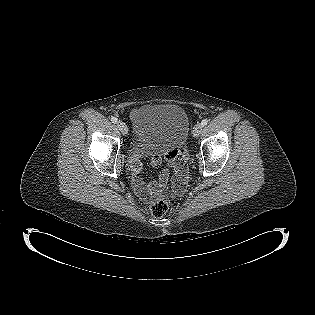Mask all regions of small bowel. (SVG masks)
I'll return each instance as SVG.
<instances>
[{
    "label": "small bowel",
    "mask_w": 315,
    "mask_h": 315,
    "mask_svg": "<svg viewBox=\"0 0 315 315\" xmlns=\"http://www.w3.org/2000/svg\"><path fill=\"white\" fill-rule=\"evenodd\" d=\"M167 156L168 159L174 164L177 174H184L185 160L181 157V154L176 150L171 149L168 151ZM151 163L155 167L160 166L161 156L154 154L151 158ZM130 166L133 173V186L136 193L143 200H150L152 197L160 194L165 188L169 177V173L166 169L161 171L158 180L152 181L146 185L143 179L140 177V174L143 171V165L137 153L132 156L130 160Z\"/></svg>",
    "instance_id": "c3829d8e"
}]
</instances>
